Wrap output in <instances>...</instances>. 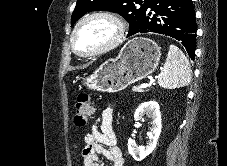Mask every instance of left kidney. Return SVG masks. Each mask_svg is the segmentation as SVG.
I'll return each mask as SVG.
<instances>
[{"label":"left kidney","mask_w":227,"mask_h":166,"mask_svg":"<svg viewBox=\"0 0 227 166\" xmlns=\"http://www.w3.org/2000/svg\"><path fill=\"white\" fill-rule=\"evenodd\" d=\"M145 115L152 119V127L148 134L149 141L147 145L138 147L133 139L129 138L128 140V152L136 161L143 160L154 151L162 129L160 107L156 101L142 103L137 108L134 119L135 121L143 120Z\"/></svg>","instance_id":"obj_1"}]
</instances>
